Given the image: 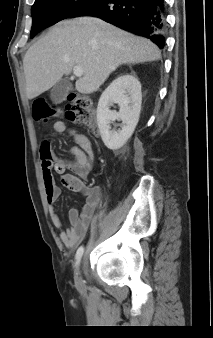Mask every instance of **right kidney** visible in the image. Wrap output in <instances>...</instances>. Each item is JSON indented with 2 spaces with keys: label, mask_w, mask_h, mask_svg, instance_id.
Masks as SVG:
<instances>
[{
  "label": "right kidney",
  "mask_w": 213,
  "mask_h": 338,
  "mask_svg": "<svg viewBox=\"0 0 213 338\" xmlns=\"http://www.w3.org/2000/svg\"><path fill=\"white\" fill-rule=\"evenodd\" d=\"M141 102V84L133 75L118 77L102 93L97 107V124L107 148L117 150L132 136L139 121ZM114 103L119 105V112L110 110ZM115 120H122L121 130H110V123Z\"/></svg>",
  "instance_id": "1"
}]
</instances>
